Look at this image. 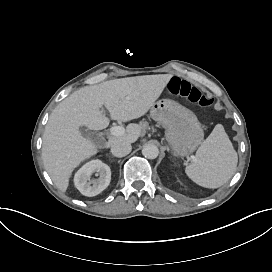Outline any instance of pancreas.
<instances>
[{"instance_id": "1", "label": "pancreas", "mask_w": 272, "mask_h": 272, "mask_svg": "<svg viewBox=\"0 0 272 272\" xmlns=\"http://www.w3.org/2000/svg\"><path fill=\"white\" fill-rule=\"evenodd\" d=\"M142 128H143L144 130H146V129L148 128V123L143 122V123H142Z\"/></svg>"}]
</instances>
